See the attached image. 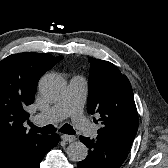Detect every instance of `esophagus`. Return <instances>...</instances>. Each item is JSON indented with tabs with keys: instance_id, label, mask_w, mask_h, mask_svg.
<instances>
[{
	"instance_id": "obj_1",
	"label": "esophagus",
	"mask_w": 168,
	"mask_h": 168,
	"mask_svg": "<svg viewBox=\"0 0 168 168\" xmlns=\"http://www.w3.org/2000/svg\"><path fill=\"white\" fill-rule=\"evenodd\" d=\"M61 139L65 142H73V141H75L76 137L74 135L63 134V135H61Z\"/></svg>"
}]
</instances>
